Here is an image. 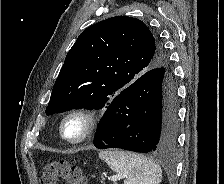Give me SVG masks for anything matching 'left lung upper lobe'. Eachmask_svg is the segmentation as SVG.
Listing matches in <instances>:
<instances>
[{"mask_svg":"<svg viewBox=\"0 0 224 184\" xmlns=\"http://www.w3.org/2000/svg\"><path fill=\"white\" fill-rule=\"evenodd\" d=\"M157 67H168L167 56L141 20L116 16L98 22L68 52L46 114L107 108L122 90Z\"/></svg>","mask_w":224,"mask_h":184,"instance_id":"left-lung-upper-lobe-1","label":"left lung upper lobe"}]
</instances>
